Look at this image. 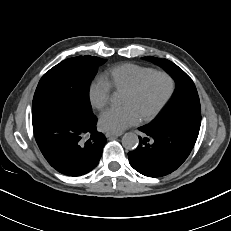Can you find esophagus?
I'll return each mask as SVG.
<instances>
[{"label": "esophagus", "mask_w": 231, "mask_h": 231, "mask_svg": "<svg viewBox=\"0 0 231 231\" xmlns=\"http://www.w3.org/2000/svg\"><path fill=\"white\" fill-rule=\"evenodd\" d=\"M123 133L121 132V133H113V132H107L106 134H105V136L107 137V138H113V137H119V136H121Z\"/></svg>", "instance_id": "obj_1"}]
</instances>
